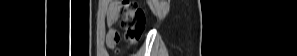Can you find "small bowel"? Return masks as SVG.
I'll return each instance as SVG.
<instances>
[{
    "instance_id": "small-bowel-1",
    "label": "small bowel",
    "mask_w": 297,
    "mask_h": 56,
    "mask_svg": "<svg viewBox=\"0 0 297 56\" xmlns=\"http://www.w3.org/2000/svg\"><path fill=\"white\" fill-rule=\"evenodd\" d=\"M118 19L117 7L116 4L110 5L107 12V25L109 30L105 37V42L108 48L115 49L119 42L120 36L117 30L113 28Z\"/></svg>"
}]
</instances>
